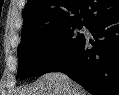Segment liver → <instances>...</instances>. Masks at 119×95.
Returning <instances> with one entry per match:
<instances>
[{
  "label": "liver",
  "mask_w": 119,
  "mask_h": 95,
  "mask_svg": "<svg viewBox=\"0 0 119 95\" xmlns=\"http://www.w3.org/2000/svg\"><path fill=\"white\" fill-rule=\"evenodd\" d=\"M18 95H88V93L65 74L50 72L41 76L31 86L20 90Z\"/></svg>",
  "instance_id": "6515ba94"
}]
</instances>
